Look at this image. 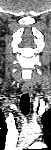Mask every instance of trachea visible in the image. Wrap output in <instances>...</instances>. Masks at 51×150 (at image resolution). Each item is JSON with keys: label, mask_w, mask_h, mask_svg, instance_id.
<instances>
[{"label": "trachea", "mask_w": 51, "mask_h": 150, "mask_svg": "<svg viewBox=\"0 0 51 150\" xmlns=\"http://www.w3.org/2000/svg\"><path fill=\"white\" fill-rule=\"evenodd\" d=\"M20 109L23 115H28L30 110V98L28 93H24L20 99Z\"/></svg>", "instance_id": "1"}]
</instances>
